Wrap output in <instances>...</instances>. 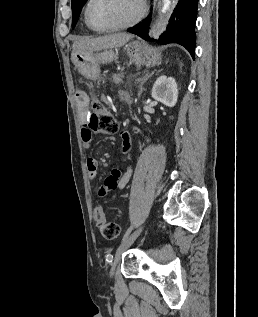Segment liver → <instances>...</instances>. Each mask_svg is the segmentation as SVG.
<instances>
[{
  "mask_svg": "<svg viewBox=\"0 0 258 317\" xmlns=\"http://www.w3.org/2000/svg\"><path fill=\"white\" fill-rule=\"evenodd\" d=\"M134 38V34L128 32H115V34H104L97 38H89V36H79L72 44L73 50H103V48H115V46H123L125 42Z\"/></svg>",
  "mask_w": 258,
  "mask_h": 317,
  "instance_id": "obj_1",
  "label": "liver"
}]
</instances>
